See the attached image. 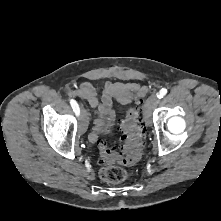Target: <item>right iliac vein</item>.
<instances>
[{
    "mask_svg": "<svg viewBox=\"0 0 221 221\" xmlns=\"http://www.w3.org/2000/svg\"><path fill=\"white\" fill-rule=\"evenodd\" d=\"M88 113L84 108H81V117H80V123H79V132L81 134L85 133L88 127Z\"/></svg>",
    "mask_w": 221,
    "mask_h": 221,
    "instance_id": "obj_1",
    "label": "right iliac vein"
}]
</instances>
